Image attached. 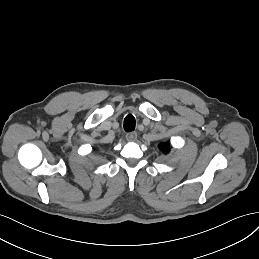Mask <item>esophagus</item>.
Segmentation results:
<instances>
[{
	"instance_id": "obj_1",
	"label": "esophagus",
	"mask_w": 259,
	"mask_h": 259,
	"mask_svg": "<svg viewBox=\"0 0 259 259\" xmlns=\"http://www.w3.org/2000/svg\"><path fill=\"white\" fill-rule=\"evenodd\" d=\"M137 139V133L136 132H129L126 134V140L129 142H133Z\"/></svg>"
}]
</instances>
